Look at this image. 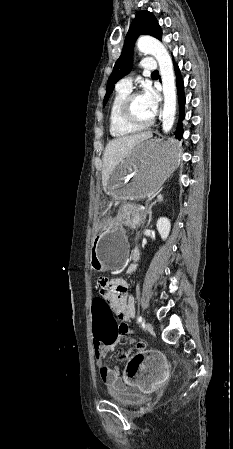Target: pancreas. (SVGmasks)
Returning <instances> with one entry per match:
<instances>
[{"label": "pancreas", "mask_w": 233, "mask_h": 449, "mask_svg": "<svg viewBox=\"0 0 233 449\" xmlns=\"http://www.w3.org/2000/svg\"><path fill=\"white\" fill-rule=\"evenodd\" d=\"M118 218L131 227H138L140 224H144L146 212L134 205H128L120 211Z\"/></svg>", "instance_id": "1"}]
</instances>
